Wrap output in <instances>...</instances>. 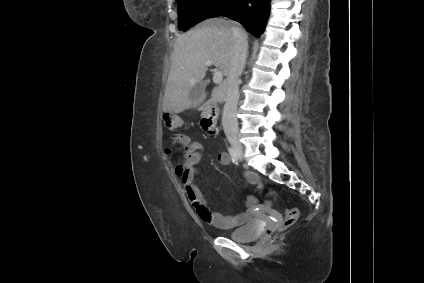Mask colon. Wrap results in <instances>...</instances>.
<instances>
[{
  "label": "colon",
  "mask_w": 424,
  "mask_h": 283,
  "mask_svg": "<svg viewBox=\"0 0 424 283\" xmlns=\"http://www.w3.org/2000/svg\"><path fill=\"white\" fill-rule=\"evenodd\" d=\"M163 122L165 127L168 130H175L180 127L181 125V118L173 113H165L163 115ZM170 152V150H168ZM298 219V210L296 208H288L285 211V217L281 224L280 229H287L294 225ZM275 233L274 230H268L267 236L271 237Z\"/></svg>",
  "instance_id": "colon-1"
}]
</instances>
